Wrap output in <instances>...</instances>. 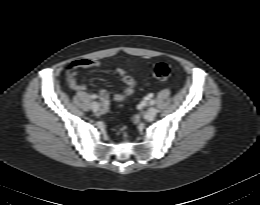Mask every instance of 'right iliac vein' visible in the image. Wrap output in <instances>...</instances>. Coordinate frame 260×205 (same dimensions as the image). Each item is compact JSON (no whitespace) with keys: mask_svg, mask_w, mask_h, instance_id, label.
Listing matches in <instances>:
<instances>
[{"mask_svg":"<svg viewBox=\"0 0 260 205\" xmlns=\"http://www.w3.org/2000/svg\"><path fill=\"white\" fill-rule=\"evenodd\" d=\"M90 107H91L93 112H97L100 109V105L96 101H93L91 103Z\"/></svg>","mask_w":260,"mask_h":205,"instance_id":"obj_1","label":"right iliac vein"}]
</instances>
